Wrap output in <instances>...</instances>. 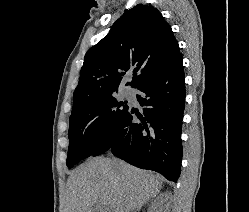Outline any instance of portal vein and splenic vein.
Here are the masks:
<instances>
[{"label":"portal vein and splenic vein","instance_id":"18ae733b","mask_svg":"<svg viewBox=\"0 0 249 212\" xmlns=\"http://www.w3.org/2000/svg\"><path fill=\"white\" fill-rule=\"evenodd\" d=\"M103 208H105V210H103ZM103 208H101L102 212H112L111 208H107V206H103Z\"/></svg>","mask_w":249,"mask_h":212}]
</instances>
